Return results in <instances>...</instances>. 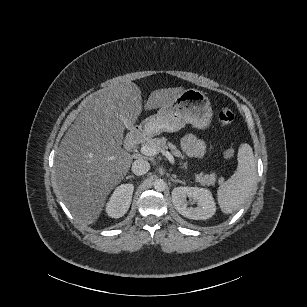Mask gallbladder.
Here are the masks:
<instances>
[{"label":"gallbladder","mask_w":307,"mask_h":307,"mask_svg":"<svg viewBox=\"0 0 307 307\" xmlns=\"http://www.w3.org/2000/svg\"><path fill=\"white\" fill-rule=\"evenodd\" d=\"M107 125L109 127H112L113 130L111 132L112 137L115 138L116 142L121 143L124 140L123 134H124V129H123V124L122 122L112 119L107 122Z\"/></svg>","instance_id":"bac80fb5"}]
</instances>
